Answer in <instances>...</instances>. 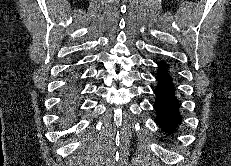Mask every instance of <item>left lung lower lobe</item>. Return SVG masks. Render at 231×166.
I'll return each mask as SVG.
<instances>
[{"label":"left lung lower lobe","instance_id":"obj_1","mask_svg":"<svg viewBox=\"0 0 231 166\" xmlns=\"http://www.w3.org/2000/svg\"><path fill=\"white\" fill-rule=\"evenodd\" d=\"M158 70L156 80L158 85L154 89L156 101L154 108L157 113V123L159 127L166 133L171 134L176 131L181 123L179 112V101L176 97L174 81L169 71V65L164 61L157 63Z\"/></svg>","mask_w":231,"mask_h":166}]
</instances>
